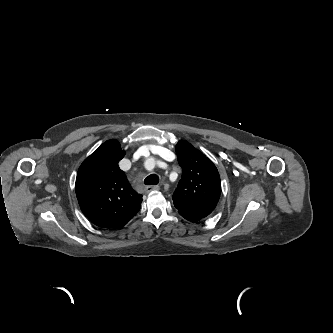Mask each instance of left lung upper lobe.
<instances>
[{
  "mask_svg": "<svg viewBox=\"0 0 333 333\" xmlns=\"http://www.w3.org/2000/svg\"><path fill=\"white\" fill-rule=\"evenodd\" d=\"M182 178L173 194L178 212L200 218L208 216L216 207L221 193L217 168L203 153L187 141L176 145Z\"/></svg>",
  "mask_w": 333,
  "mask_h": 333,
  "instance_id": "5c2ea615",
  "label": "left lung upper lobe"
}]
</instances>
